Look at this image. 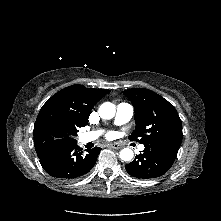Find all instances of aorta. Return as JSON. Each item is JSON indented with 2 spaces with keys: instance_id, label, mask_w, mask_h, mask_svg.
<instances>
[{
  "instance_id": "762f6f07",
  "label": "aorta",
  "mask_w": 221,
  "mask_h": 221,
  "mask_svg": "<svg viewBox=\"0 0 221 221\" xmlns=\"http://www.w3.org/2000/svg\"><path fill=\"white\" fill-rule=\"evenodd\" d=\"M116 107L111 102H105L99 107L98 113L103 119H112L115 116ZM133 151L129 148H124L120 151V159L130 161L133 158Z\"/></svg>"
}]
</instances>
